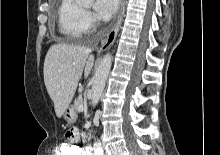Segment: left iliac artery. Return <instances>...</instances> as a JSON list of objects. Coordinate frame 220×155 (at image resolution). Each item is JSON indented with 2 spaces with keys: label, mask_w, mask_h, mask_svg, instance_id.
<instances>
[{
  "label": "left iliac artery",
  "mask_w": 220,
  "mask_h": 155,
  "mask_svg": "<svg viewBox=\"0 0 220 155\" xmlns=\"http://www.w3.org/2000/svg\"><path fill=\"white\" fill-rule=\"evenodd\" d=\"M95 155H103V151L101 148H97Z\"/></svg>",
  "instance_id": "left-iliac-artery-1"
}]
</instances>
